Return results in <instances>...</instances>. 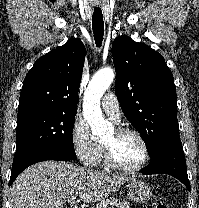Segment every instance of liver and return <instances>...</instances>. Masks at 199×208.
<instances>
[{"mask_svg":"<svg viewBox=\"0 0 199 208\" xmlns=\"http://www.w3.org/2000/svg\"><path fill=\"white\" fill-rule=\"evenodd\" d=\"M130 178L70 163L44 161L28 167L11 187V208H63L78 196L86 203L107 198Z\"/></svg>","mask_w":199,"mask_h":208,"instance_id":"liver-1","label":"liver"}]
</instances>
